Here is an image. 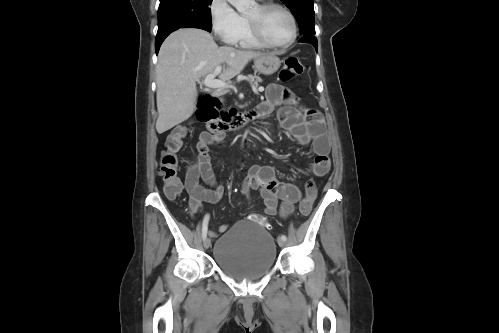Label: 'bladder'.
<instances>
[{
  "instance_id": "bladder-1",
  "label": "bladder",
  "mask_w": 499,
  "mask_h": 333,
  "mask_svg": "<svg viewBox=\"0 0 499 333\" xmlns=\"http://www.w3.org/2000/svg\"><path fill=\"white\" fill-rule=\"evenodd\" d=\"M213 258L225 274L255 280L274 268L275 240L261 224L240 220L217 239Z\"/></svg>"
}]
</instances>
